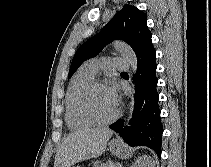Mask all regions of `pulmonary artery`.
Returning a JSON list of instances; mask_svg holds the SVG:
<instances>
[{"label": "pulmonary artery", "mask_w": 211, "mask_h": 167, "mask_svg": "<svg viewBox=\"0 0 211 167\" xmlns=\"http://www.w3.org/2000/svg\"><path fill=\"white\" fill-rule=\"evenodd\" d=\"M129 63L126 59L121 57L113 58H94L87 60L83 64V68L90 72L92 75H95L99 69H116V70H125L128 69Z\"/></svg>", "instance_id": "pulmonary-artery-1"}]
</instances>
